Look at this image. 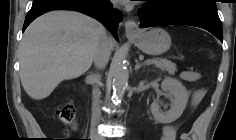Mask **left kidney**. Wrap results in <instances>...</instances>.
<instances>
[{"instance_id":"obj_1","label":"left kidney","mask_w":236,"mask_h":140,"mask_svg":"<svg viewBox=\"0 0 236 140\" xmlns=\"http://www.w3.org/2000/svg\"><path fill=\"white\" fill-rule=\"evenodd\" d=\"M161 89L171 97V108L167 112L160 109L159 99L151 104V112L156 121L167 124L178 119L186 108L189 94L182 83L174 78L167 77L161 83Z\"/></svg>"}]
</instances>
